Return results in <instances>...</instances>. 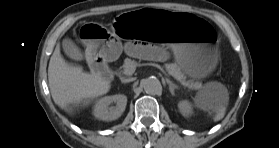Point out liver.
<instances>
[{
	"mask_svg": "<svg viewBox=\"0 0 279 148\" xmlns=\"http://www.w3.org/2000/svg\"><path fill=\"white\" fill-rule=\"evenodd\" d=\"M48 80L55 104L69 114L74 107L88 105L111 88L110 81L101 72L86 73L81 66L68 63L59 44L50 58Z\"/></svg>",
	"mask_w": 279,
	"mask_h": 148,
	"instance_id": "6515ba94",
	"label": "liver"
}]
</instances>
